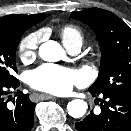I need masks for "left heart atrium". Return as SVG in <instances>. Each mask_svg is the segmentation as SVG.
I'll list each match as a JSON object with an SVG mask.
<instances>
[{
    "label": "left heart atrium",
    "mask_w": 131,
    "mask_h": 131,
    "mask_svg": "<svg viewBox=\"0 0 131 131\" xmlns=\"http://www.w3.org/2000/svg\"><path fill=\"white\" fill-rule=\"evenodd\" d=\"M29 84L39 91L64 95L83 83L80 72L53 64L42 65L29 74Z\"/></svg>",
    "instance_id": "1"
}]
</instances>
